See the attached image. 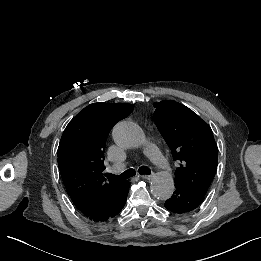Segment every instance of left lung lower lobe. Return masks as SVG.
Here are the masks:
<instances>
[{
    "instance_id": "left-lung-lower-lobe-1",
    "label": "left lung lower lobe",
    "mask_w": 261,
    "mask_h": 261,
    "mask_svg": "<svg viewBox=\"0 0 261 261\" xmlns=\"http://www.w3.org/2000/svg\"><path fill=\"white\" fill-rule=\"evenodd\" d=\"M175 192L172 197L165 202V207L174 213H186L197 208L204 200L205 194L185 186L175 183Z\"/></svg>"
}]
</instances>
